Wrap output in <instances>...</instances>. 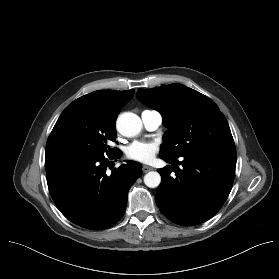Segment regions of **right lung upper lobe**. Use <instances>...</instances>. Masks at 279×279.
<instances>
[{
    "label": "right lung upper lobe",
    "mask_w": 279,
    "mask_h": 279,
    "mask_svg": "<svg viewBox=\"0 0 279 279\" xmlns=\"http://www.w3.org/2000/svg\"><path fill=\"white\" fill-rule=\"evenodd\" d=\"M134 89L128 91L99 90L84 95L75 102L84 103L102 120L115 124L121 108L134 96Z\"/></svg>",
    "instance_id": "obj_1"
}]
</instances>
